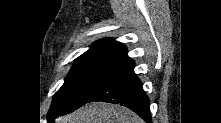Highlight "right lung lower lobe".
<instances>
[{
    "label": "right lung lower lobe",
    "instance_id": "right-lung-lower-lobe-1",
    "mask_svg": "<svg viewBox=\"0 0 221 123\" xmlns=\"http://www.w3.org/2000/svg\"><path fill=\"white\" fill-rule=\"evenodd\" d=\"M131 59L100 83L91 94L88 102L103 101L126 106L138 113L147 123L151 122L150 104L141 81L134 73ZM87 102V103H88ZM57 113H48V120L55 119Z\"/></svg>",
    "mask_w": 221,
    "mask_h": 123
}]
</instances>
